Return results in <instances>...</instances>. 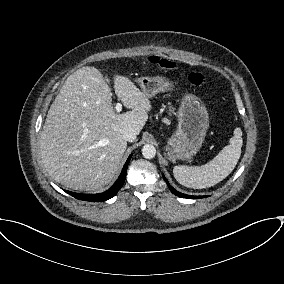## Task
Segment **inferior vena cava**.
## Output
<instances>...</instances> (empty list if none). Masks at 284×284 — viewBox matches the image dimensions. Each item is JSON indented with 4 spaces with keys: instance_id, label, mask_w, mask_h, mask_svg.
Masks as SVG:
<instances>
[{
    "instance_id": "obj_1",
    "label": "inferior vena cava",
    "mask_w": 284,
    "mask_h": 284,
    "mask_svg": "<svg viewBox=\"0 0 284 284\" xmlns=\"http://www.w3.org/2000/svg\"><path fill=\"white\" fill-rule=\"evenodd\" d=\"M122 137L125 141L132 142L137 137V132L132 127H125L122 131Z\"/></svg>"
}]
</instances>
